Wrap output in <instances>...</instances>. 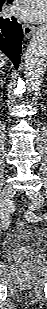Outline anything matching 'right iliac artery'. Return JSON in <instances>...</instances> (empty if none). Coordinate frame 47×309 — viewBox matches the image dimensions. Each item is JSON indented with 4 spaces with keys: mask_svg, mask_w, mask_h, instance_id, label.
<instances>
[{
    "mask_svg": "<svg viewBox=\"0 0 47 309\" xmlns=\"http://www.w3.org/2000/svg\"><path fill=\"white\" fill-rule=\"evenodd\" d=\"M0 215H1V218L3 219V222L9 220V214L6 212V210L3 207H1Z\"/></svg>",
    "mask_w": 47,
    "mask_h": 309,
    "instance_id": "obj_1",
    "label": "right iliac artery"
}]
</instances>
